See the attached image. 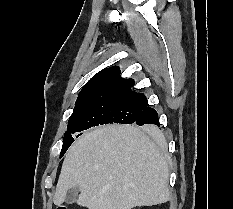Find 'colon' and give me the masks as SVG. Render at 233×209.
Here are the masks:
<instances>
[{"label": "colon", "instance_id": "1", "mask_svg": "<svg viewBox=\"0 0 233 209\" xmlns=\"http://www.w3.org/2000/svg\"><path fill=\"white\" fill-rule=\"evenodd\" d=\"M58 209H67L65 206L58 207Z\"/></svg>", "mask_w": 233, "mask_h": 209}]
</instances>
